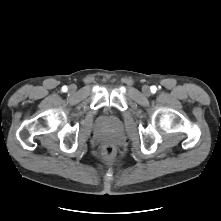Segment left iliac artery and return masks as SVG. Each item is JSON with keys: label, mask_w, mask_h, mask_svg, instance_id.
<instances>
[{"label": "left iliac artery", "mask_w": 221, "mask_h": 221, "mask_svg": "<svg viewBox=\"0 0 221 221\" xmlns=\"http://www.w3.org/2000/svg\"><path fill=\"white\" fill-rule=\"evenodd\" d=\"M150 88H151V92H152V93L156 92V89H157V88H156L155 86H152V87H150Z\"/></svg>", "instance_id": "44dca946"}]
</instances>
